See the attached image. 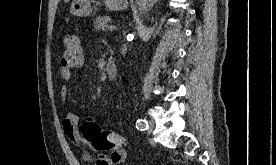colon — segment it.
Here are the masks:
<instances>
[{"label":"colon","mask_w":276,"mask_h":165,"mask_svg":"<svg viewBox=\"0 0 276 165\" xmlns=\"http://www.w3.org/2000/svg\"><path fill=\"white\" fill-rule=\"evenodd\" d=\"M82 59L83 50L79 38L75 35L66 36L61 67L72 70L81 65ZM81 134L94 149L111 151L115 159L125 157V138L112 131L102 129L94 119L89 118L82 123Z\"/></svg>","instance_id":"1"}]
</instances>
